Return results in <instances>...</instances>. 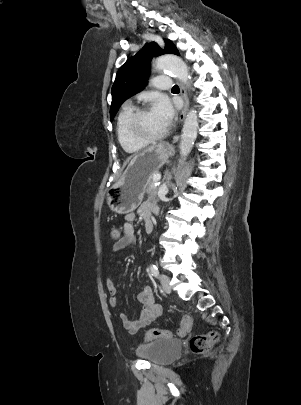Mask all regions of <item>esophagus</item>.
Here are the masks:
<instances>
[{"mask_svg":"<svg viewBox=\"0 0 301 405\" xmlns=\"http://www.w3.org/2000/svg\"><path fill=\"white\" fill-rule=\"evenodd\" d=\"M179 87H180L181 95H182V97L184 99V107H183V110H182V112H181V114L179 116V120H180V122H182L185 119V116H186V113H187V110H188V107H189V101H188L186 89H185L184 85L181 82H179ZM178 139H179L178 135L173 136V143H176L178 141Z\"/></svg>","mask_w":301,"mask_h":405,"instance_id":"esophagus-1","label":"esophagus"}]
</instances>
